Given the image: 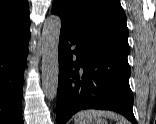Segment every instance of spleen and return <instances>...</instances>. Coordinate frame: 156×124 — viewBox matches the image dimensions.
<instances>
[{"instance_id": "obj_1", "label": "spleen", "mask_w": 156, "mask_h": 124, "mask_svg": "<svg viewBox=\"0 0 156 124\" xmlns=\"http://www.w3.org/2000/svg\"><path fill=\"white\" fill-rule=\"evenodd\" d=\"M107 117L117 121V124H128L127 120L112 111L82 110L75 115L74 124H88L92 119Z\"/></svg>"}]
</instances>
